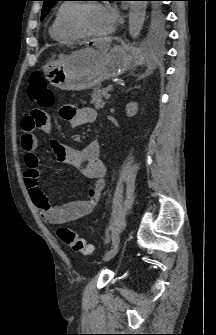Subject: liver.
<instances>
[{
    "label": "liver",
    "instance_id": "obj_1",
    "mask_svg": "<svg viewBox=\"0 0 216 335\" xmlns=\"http://www.w3.org/2000/svg\"><path fill=\"white\" fill-rule=\"evenodd\" d=\"M109 44H110V41L108 42L106 46L101 47L99 52L101 53L106 52L108 50ZM93 62H94V58L87 57V56L85 57L82 54H78L74 58V63L80 67L91 65Z\"/></svg>",
    "mask_w": 216,
    "mask_h": 335
}]
</instances>
